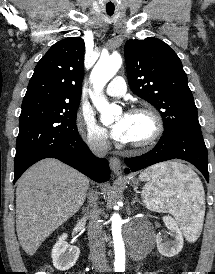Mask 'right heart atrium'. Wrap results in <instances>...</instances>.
Listing matches in <instances>:
<instances>
[{"mask_svg": "<svg viewBox=\"0 0 215 274\" xmlns=\"http://www.w3.org/2000/svg\"><path fill=\"white\" fill-rule=\"evenodd\" d=\"M77 129L87 145L94 151L102 152L108 149V134L99 126L88 112H82L77 119Z\"/></svg>", "mask_w": 215, "mask_h": 274, "instance_id": "1", "label": "right heart atrium"}]
</instances>
